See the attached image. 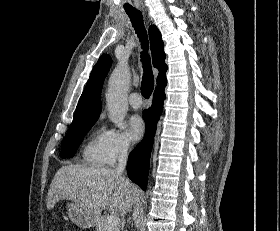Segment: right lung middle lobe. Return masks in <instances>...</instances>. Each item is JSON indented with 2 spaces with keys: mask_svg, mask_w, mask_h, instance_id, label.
I'll list each match as a JSON object with an SVG mask.
<instances>
[{
  "mask_svg": "<svg viewBox=\"0 0 280 231\" xmlns=\"http://www.w3.org/2000/svg\"><path fill=\"white\" fill-rule=\"evenodd\" d=\"M96 121H88L75 126H71L62 144L61 158H71L76 153L84 136L95 124Z\"/></svg>",
  "mask_w": 280,
  "mask_h": 231,
  "instance_id": "1",
  "label": "right lung middle lobe"
}]
</instances>
